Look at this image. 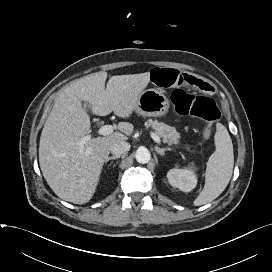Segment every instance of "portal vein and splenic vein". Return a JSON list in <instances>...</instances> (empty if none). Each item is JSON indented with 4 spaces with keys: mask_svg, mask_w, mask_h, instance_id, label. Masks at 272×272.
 <instances>
[{
    "mask_svg": "<svg viewBox=\"0 0 272 272\" xmlns=\"http://www.w3.org/2000/svg\"><path fill=\"white\" fill-rule=\"evenodd\" d=\"M97 133L99 135L102 136H106V135H110L113 133V126L112 125H104L102 127L99 128V130L97 131ZM151 137L153 138V140L157 143L160 144L161 140L160 138L155 134V133H151ZM91 139V135H86L84 136L81 141H80V145H84L85 143H87L89 140Z\"/></svg>",
    "mask_w": 272,
    "mask_h": 272,
    "instance_id": "18ae733b",
    "label": "portal vein and splenic vein"
}]
</instances>
